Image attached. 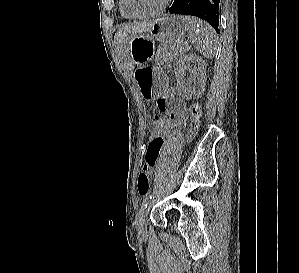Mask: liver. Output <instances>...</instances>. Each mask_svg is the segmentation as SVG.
Instances as JSON below:
<instances>
[{"label":"liver","mask_w":299,"mask_h":273,"mask_svg":"<svg viewBox=\"0 0 299 273\" xmlns=\"http://www.w3.org/2000/svg\"><path fill=\"white\" fill-rule=\"evenodd\" d=\"M156 20L126 23L119 26L117 33L115 35V45L117 52L124 65L129 69L133 70L134 61L131 57L130 43L132 39L136 36L145 35L148 33L152 26L155 24Z\"/></svg>","instance_id":"1"}]
</instances>
